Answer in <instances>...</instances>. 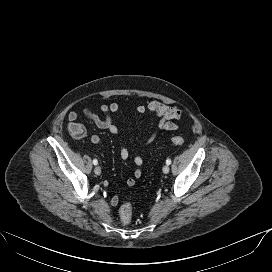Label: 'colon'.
<instances>
[{
  "label": "colon",
  "instance_id": "5ec220e1",
  "mask_svg": "<svg viewBox=\"0 0 272 272\" xmlns=\"http://www.w3.org/2000/svg\"><path fill=\"white\" fill-rule=\"evenodd\" d=\"M69 132L73 138L80 139L83 138L86 134V130L83 125L78 123H71L69 125ZM172 142L175 145H182L184 139L181 136H174ZM120 219L123 224H129L132 217V205L129 202H126L121 205L120 210Z\"/></svg>",
  "mask_w": 272,
  "mask_h": 272
}]
</instances>
